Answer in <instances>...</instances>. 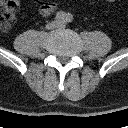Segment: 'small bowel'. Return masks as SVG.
Here are the masks:
<instances>
[{"mask_svg": "<svg viewBox=\"0 0 128 128\" xmlns=\"http://www.w3.org/2000/svg\"><path fill=\"white\" fill-rule=\"evenodd\" d=\"M57 8V5L55 3H47V4H42L39 7V15L46 17L48 15H50L51 13H53Z\"/></svg>", "mask_w": 128, "mask_h": 128, "instance_id": "1", "label": "small bowel"}]
</instances>
